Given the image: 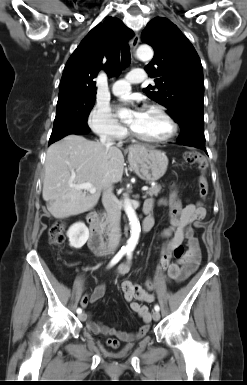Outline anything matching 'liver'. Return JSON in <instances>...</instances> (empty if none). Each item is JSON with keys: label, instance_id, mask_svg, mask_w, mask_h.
Wrapping results in <instances>:
<instances>
[{"label": "liver", "instance_id": "1", "mask_svg": "<svg viewBox=\"0 0 247 385\" xmlns=\"http://www.w3.org/2000/svg\"><path fill=\"white\" fill-rule=\"evenodd\" d=\"M122 151L105 147L81 135L69 134L52 144L46 153L42 196L47 209L57 219L79 215L98 203L101 191L121 180ZM90 182L95 193L71 185Z\"/></svg>", "mask_w": 247, "mask_h": 385}]
</instances>
